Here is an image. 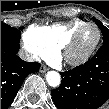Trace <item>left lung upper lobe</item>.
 <instances>
[{"label":"left lung upper lobe","mask_w":109,"mask_h":109,"mask_svg":"<svg viewBox=\"0 0 109 109\" xmlns=\"http://www.w3.org/2000/svg\"><path fill=\"white\" fill-rule=\"evenodd\" d=\"M97 26L100 28L103 34V44H109V29L106 28L99 20L93 18Z\"/></svg>","instance_id":"obj_1"}]
</instances>
